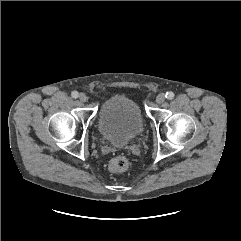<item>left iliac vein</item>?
I'll use <instances>...</instances> for the list:
<instances>
[{
	"instance_id": "4c4485c4",
	"label": "left iliac vein",
	"mask_w": 241,
	"mask_h": 241,
	"mask_svg": "<svg viewBox=\"0 0 241 241\" xmlns=\"http://www.w3.org/2000/svg\"><path fill=\"white\" fill-rule=\"evenodd\" d=\"M164 101H165V95H164V93L158 94L157 97H156V102H157L158 104H161V103H163Z\"/></svg>"
}]
</instances>
